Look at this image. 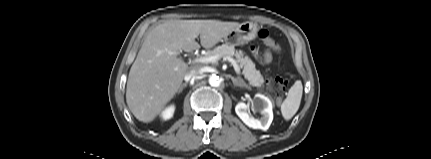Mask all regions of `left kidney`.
Here are the masks:
<instances>
[{
  "instance_id": "obj_1",
  "label": "left kidney",
  "mask_w": 431,
  "mask_h": 159,
  "mask_svg": "<svg viewBox=\"0 0 431 159\" xmlns=\"http://www.w3.org/2000/svg\"><path fill=\"white\" fill-rule=\"evenodd\" d=\"M248 108L247 104L239 102L235 107V112L248 127L266 131L273 120L272 102L270 99L262 94L255 95L253 108L262 114L260 119H255L251 116Z\"/></svg>"
}]
</instances>
